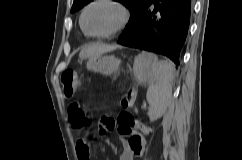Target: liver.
I'll return each mask as SVG.
<instances>
[{
  "instance_id": "6515ba94",
  "label": "liver",
  "mask_w": 242,
  "mask_h": 160,
  "mask_svg": "<svg viewBox=\"0 0 242 160\" xmlns=\"http://www.w3.org/2000/svg\"><path fill=\"white\" fill-rule=\"evenodd\" d=\"M118 48H120L119 45L96 43L83 48L79 54V57L81 59H92L102 55L103 53L111 52Z\"/></svg>"
}]
</instances>
